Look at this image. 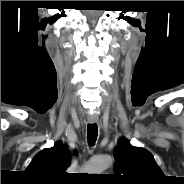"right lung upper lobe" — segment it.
<instances>
[{
	"label": "right lung upper lobe",
	"mask_w": 184,
	"mask_h": 184,
	"mask_svg": "<svg viewBox=\"0 0 184 184\" xmlns=\"http://www.w3.org/2000/svg\"><path fill=\"white\" fill-rule=\"evenodd\" d=\"M70 165V154L61 141L52 148L39 152L26 169L33 181L40 184H62L67 180L66 169Z\"/></svg>",
	"instance_id": "obj_1"
}]
</instances>
